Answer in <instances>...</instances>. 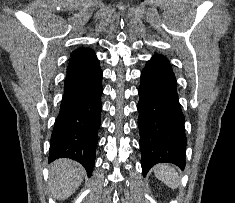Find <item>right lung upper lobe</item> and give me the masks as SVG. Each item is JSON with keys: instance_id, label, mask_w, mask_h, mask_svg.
I'll use <instances>...</instances> for the list:
<instances>
[{"instance_id": "cb5924a9", "label": "right lung upper lobe", "mask_w": 235, "mask_h": 203, "mask_svg": "<svg viewBox=\"0 0 235 203\" xmlns=\"http://www.w3.org/2000/svg\"><path fill=\"white\" fill-rule=\"evenodd\" d=\"M94 57H95L94 51L88 48H80L78 50L73 51L71 53V58L69 61L67 72L77 69L78 67L90 61Z\"/></svg>"}]
</instances>
